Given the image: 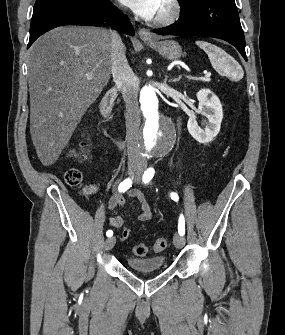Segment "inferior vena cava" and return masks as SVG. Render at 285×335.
<instances>
[{
    "instance_id": "1",
    "label": "inferior vena cava",
    "mask_w": 285,
    "mask_h": 335,
    "mask_svg": "<svg viewBox=\"0 0 285 335\" xmlns=\"http://www.w3.org/2000/svg\"><path fill=\"white\" fill-rule=\"evenodd\" d=\"M111 72L117 74L121 94L126 104V142L129 160L140 162L141 154L138 148L140 126V110L135 88V76L128 66L125 56V46L118 34L112 32Z\"/></svg>"
}]
</instances>
